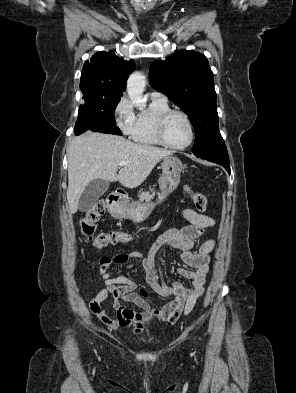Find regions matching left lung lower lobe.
Returning a JSON list of instances; mask_svg holds the SVG:
<instances>
[{"label":"left lung lower lobe","instance_id":"obj_1","mask_svg":"<svg viewBox=\"0 0 296 393\" xmlns=\"http://www.w3.org/2000/svg\"><path fill=\"white\" fill-rule=\"evenodd\" d=\"M195 156L222 165L230 174L228 152H210V153L200 154Z\"/></svg>","mask_w":296,"mask_h":393}]
</instances>
